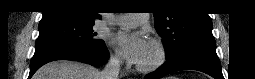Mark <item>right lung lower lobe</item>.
<instances>
[{"label":"right lung lower lobe","instance_id":"98d812e1","mask_svg":"<svg viewBox=\"0 0 255 79\" xmlns=\"http://www.w3.org/2000/svg\"><path fill=\"white\" fill-rule=\"evenodd\" d=\"M108 58V50L103 42L99 46H69L64 44H51L35 49L30 63L29 78L44 64L55 60H73L90 65H101Z\"/></svg>","mask_w":255,"mask_h":79}]
</instances>
